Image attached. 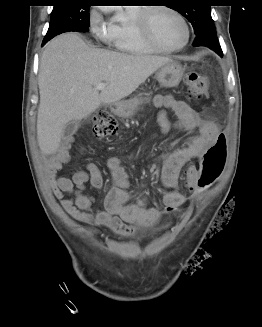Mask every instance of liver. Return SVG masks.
Listing matches in <instances>:
<instances>
[{
  "mask_svg": "<svg viewBox=\"0 0 262 327\" xmlns=\"http://www.w3.org/2000/svg\"><path fill=\"white\" fill-rule=\"evenodd\" d=\"M170 62L169 57L90 47L76 33L51 40L42 53L38 75L37 140L42 153L58 150L67 123L88 117L102 103L128 97ZM99 83L107 84L100 92L95 89Z\"/></svg>",
  "mask_w": 262,
  "mask_h": 327,
  "instance_id": "obj_1",
  "label": "liver"
}]
</instances>
